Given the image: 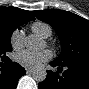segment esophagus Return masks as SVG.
I'll list each match as a JSON object with an SVG mask.
<instances>
[{
  "label": "esophagus",
  "instance_id": "esophagus-1",
  "mask_svg": "<svg viewBox=\"0 0 89 89\" xmlns=\"http://www.w3.org/2000/svg\"><path fill=\"white\" fill-rule=\"evenodd\" d=\"M26 72L27 73H32L33 72V69L32 68H26Z\"/></svg>",
  "mask_w": 89,
  "mask_h": 89
}]
</instances>
